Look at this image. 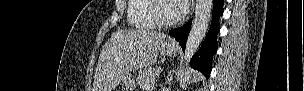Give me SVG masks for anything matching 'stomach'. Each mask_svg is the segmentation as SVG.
Wrapping results in <instances>:
<instances>
[{"label":"stomach","instance_id":"obj_1","mask_svg":"<svg viewBox=\"0 0 304 91\" xmlns=\"http://www.w3.org/2000/svg\"><path fill=\"white\" fill-rule=\"evenodd\" d=\"M178 46L172 40L162 42L160 46V53L164 56H175L178 52ZM123 91H134L136 85L135 80L130 74L126 75L122 81Z\"/></svg>","mask_w":304,"mask_h":91}]
</instances>
